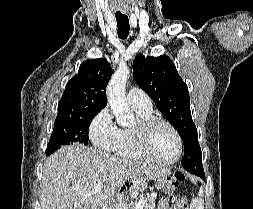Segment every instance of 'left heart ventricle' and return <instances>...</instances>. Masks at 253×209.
<instances>
[{
  "label": "left heart ventricle",
  "mask_w": 253,
  "mask_h": 209,
  "mask_svg": "<svg viewBox=\"0 0 253 209\" xmlns=\"http://www.w3.org/2000/svg\"><path fill=\"white\" fill-rule=\"evenodd\" d=\"M149 151L160 160L169 161L177 153V142L173 132L163 124L155 125L149 137Z\"/></svg>",
  "instance_id": "1"
}]
</instances>
